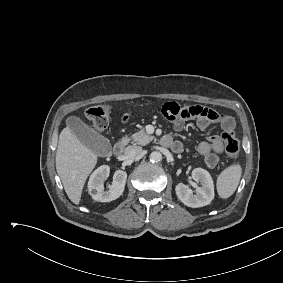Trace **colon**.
Here are the masks:
<instances>
[{
  "label": "colon",
  "instance_id": "obj_1",
  "mask_svg": "<svg viewBox=\"0 0 283 283\" xmlns=\"http://www.w3.org/2000/svg\"><path fill=\"white\" fill-rule=\"evenodd\" d=\"M111 109L107 105H97L90 107L87 111L88 119L94 126L100 130H104L109 125ZM221 139L224 143L226 154L235 159L240 150V143L233 130L224 131L221 134Z\"/></svg>",
  "mask_w": 283,
  "mask_h": 283
}]
</instances>
